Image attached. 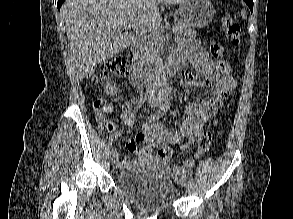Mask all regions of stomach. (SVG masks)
Returning a JSON list of instances; mask_svg holds the SVG:
<instances>
[{"mask_svg": "<svg viewBox=\"0 0 293 219\" xmlns=\"http://www.w3.org/2000/svg\"><path fill=\"white\" fill-rule=\"evenodd\" d=\"M178 12L192 27L202 28L211 23L215 9L209 0H183Z\"/></svg>", "mask_w": 293, "mask_h": 219, "instance_id": "obj_1", "label": "stomach"}]
</instances>
